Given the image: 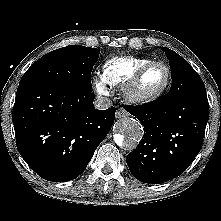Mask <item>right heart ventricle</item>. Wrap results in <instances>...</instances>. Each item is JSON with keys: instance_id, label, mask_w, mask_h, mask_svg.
<instances>
[{"instance_id": "right-heart-ventricle-1", "label": "right heart ventricle", "mask_w": 221, "mask_h": 221, "mask_svg": "<svg viewBox=\"0 0 221 221\" xmlns=\"http://www.w3.org/2000/svg\"><path fill=\"white\" fill-rule=\"evenodd\" d=\"M152 60L145 57H115L103 65L102 79L105 84L115 87L125 85L132 76Z\"/></svg>"}]
</instances>
